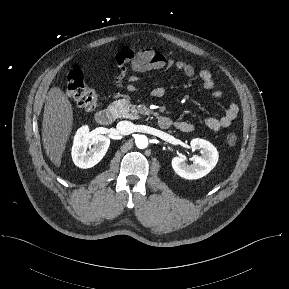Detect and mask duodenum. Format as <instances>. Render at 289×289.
<instances>
[{
    "label": "duodenum",
    "instance_id": "obj_1",
    "mask_svg": "<svg viewBox=\"0 0 289 289\" xmlns=\"http://www.w3.org/2000/svg\"><path fill=\"white\" fill-rule=\"evenodd\" d=\"M96 122L100 125L106 126L113 121V113L111 110L105 108L98 111L95 115ZM158 126L161 129H168L172 125V120L166 116L158 117Z\"/></svg>",
    "mask_w": 289,
    "mask_h": 289
}]
</instances>
